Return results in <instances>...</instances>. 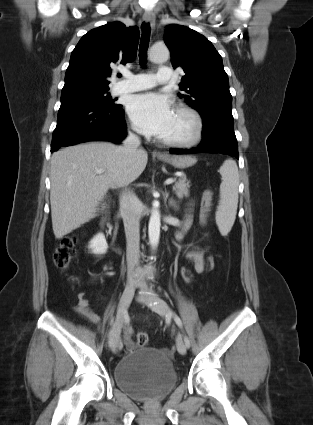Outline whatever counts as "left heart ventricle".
Wrapping results in <instances>:
<instances>
[{"label":"left heart ventricle","mask_w":313,"mask_h":425,"mask_svg":"<svg viewBox=\"0 0 313 425\" xmlns=\"http://www.w3.org/2000/svg\"><path fill=\"white\" fill-rule=\"evenodd\" d=\"M193 132V123L184 114L174 112L171 125L162 139H185Z\"/></svg>","instance_id":"1"}]
</instances>
